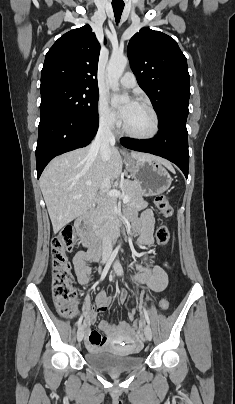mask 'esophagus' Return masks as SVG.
I'll list each match as a JSON object with an SVG mask.
<instances>
[{
    "label": "esophagus",
    "mask_w": 235,
    "mask_h": 404,
    "mask_svg": "<svg viewBox=\"0 0 235 404\" xmlns=\"http://www.w3.org/2000/svg\"><path fill=\"white\" fill-rule=\"evenodd\" d=\"M121 152H122L123 154H126V153H127L125 150H121Z\"/></svg>",
    "instance_id": "esophagus-1"
}]
</instances>
